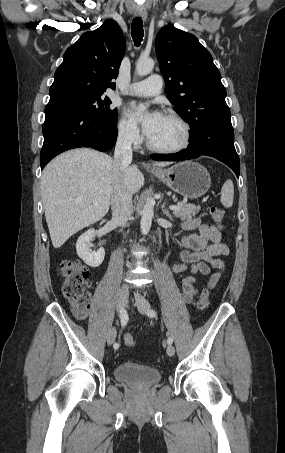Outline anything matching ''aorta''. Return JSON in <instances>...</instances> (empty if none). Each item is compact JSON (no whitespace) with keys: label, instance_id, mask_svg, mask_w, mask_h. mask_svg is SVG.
Segmentation results:
<instances>
[{"label":"aorta","instance_id":"obj_1","mask_svg":"<svg viewBox=\"0 0 285 453\" xmlns=\"http://www.w3.org/2000/svg\"><path fill=\"white\" fill-rule=\"evenodd\" d=\"M155 62L149 57H140L136 64V73L139 76L148 75L154 68ZM147 106L141 104L139 110L145 111ZM154 205L155 200L153 198H148L141 215L140 228L143 235H147L150 231L152 219L154 217Z\"/></svg>","mask_w":285,"mask_h":453}]
</instances>
